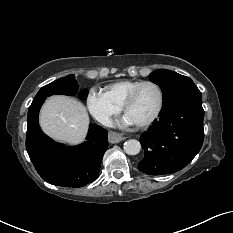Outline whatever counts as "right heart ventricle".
<instances>
[{
    "label": "right heart ventricle",
    "instance_id": "right-heart-ventricle-1",
    "mask_svg": "<svg viewBox=\"0 0 233 233\" xmlns=\"http://www.w3.org/2000/svg\"><path fill=\"white\" fill-rule=\"evenodd\" d=\"M141 82L140 80H120L106 86V94L109 98L118 104L123 105L128 94Z\"/></svg>",
    "mask_w": 233,
    "mask_h": 233
}]
</instances>
